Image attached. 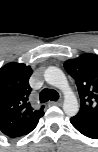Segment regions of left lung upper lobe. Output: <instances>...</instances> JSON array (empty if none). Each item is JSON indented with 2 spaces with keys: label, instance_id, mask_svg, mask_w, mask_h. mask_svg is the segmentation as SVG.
I'll use <instances>...</instances> for the list:
<instances>
[{
  "label": "left lung upper lobe",
  "instance_id": "5c2ea615",
  "mask_svg": "<svg viewBox=\"0 0 98 152\" xmlns=\"http://www.w3.org/2000/svg\"><path fill=\"white\" fill-rule=\"evenodd\" d=\"M64 68L77 85L81 100L74 119L98 125V56L84 54L65 61Z\"/></svg>",
  "mask_w": 98,
  "mask_h": 152
}]
</instances>
